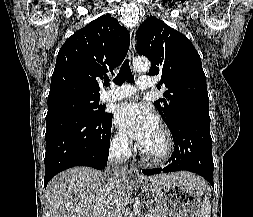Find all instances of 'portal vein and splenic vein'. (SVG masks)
Returning <instances> with one entry per match:
<instances>
[{
  "mask_svg": "<svg viewBox=\"0 0 253 217\" xmlns=\"http://www.w3.org/2000/svg\"><path fill=\"white\" fill-rule=\"evenodd\" d=\"M146 217H152V214H151V213H149V214H147V215H146Z\"/></svg>",
  "mask_w": 253,
  "mask_h": 217,
  "instance_id": "18ae733b",
  "label": "portal vein and splenic vein"
}]
</instances>
